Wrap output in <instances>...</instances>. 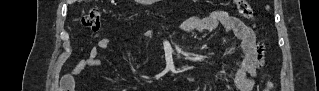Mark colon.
Masks as SVG:
<instances>
[{"mask_svg": "<svg viewBox=\"0 0 319 91\" xmlns=\"http://www.w3.org/2000/svg\"><path fill=\"white\" fill-rule=\"evenodd\" d=\"M233 3L243 17L250 20L253 18L252 9L246 0H234ZM81 23L85 28L89 29L93 33L98 32L103 23L101 10L99 8H91L82 16ZM271 88L272 85L268 83L265 90H271Z\"/></svg>", "mask_w": 319, "mask_h": 91, "instance_id": "1", "label": "colon"}]
</instances>
